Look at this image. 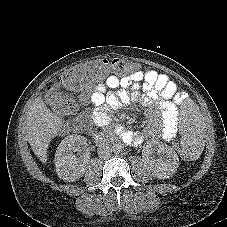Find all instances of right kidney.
<instances>
[{"instance_id":"ca27d5eb","label":"right kidney","mask_w":227,"mask_h":227,"mask_svg":"<svg viewBox=\"0 0 227 227\" xmlns=\"http://www.w3.org/2000/svg\"><path fill=\"white\" fill-rule=\"evenodd\" d=\"M84 145H87V138L75 134L65 137L57 147L55 167L58 177L63 181L73 182L83 176L90 156L84 153L77 157L75 152L81 151Z\"/></svg>"}]
</instances>
